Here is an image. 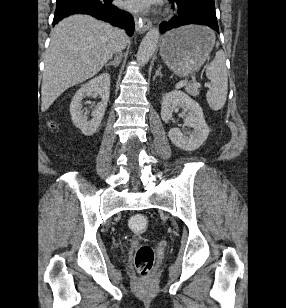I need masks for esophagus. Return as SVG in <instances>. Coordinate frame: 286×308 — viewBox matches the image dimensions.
I'll list each match as a JSON object with an SVG mask.
<instances>
[{
  "label": "esophagus",
  "mask_w": 286,
  "mask_h": 308,
  "mask_svg": "<svg viewBox=\"0 0 286 308\" xmlns=\"http://www.w3.org/2000/svg\"><path fill=\"white\" fill-rule=\"evenodd\" d=\"M136 31L144 33L152 26V21L147 17H135Z\"/></svg>",
  "instance_id": "obj_1"
}]
</instances>
